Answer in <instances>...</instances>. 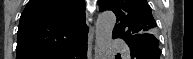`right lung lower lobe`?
<instances>
[{
	"mask_svg": "<svg viewBox=\"0 0 193 59\" xmlns=\"http://www.w3.org/2000/svg\"><path fill=\"white\" fill-rule=\"evenodd\" d=\"M87 38L53 59H86Z\"/></svg>",
	"mask_w": 193,
	"mask_h": 59,
	"instance_id": "1",
	"label": "right lung lower lobe"
}]
</instances>
